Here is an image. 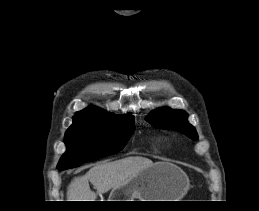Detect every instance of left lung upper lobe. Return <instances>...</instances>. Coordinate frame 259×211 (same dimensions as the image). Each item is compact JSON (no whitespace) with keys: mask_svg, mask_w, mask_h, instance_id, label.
Returning <instances> with one entry per match:
<instances>
[{"mask_svg":"<svg viewBox=\"0 0 259 211\" xmlns=\"http://www.w3.org/2000/svg\"><path fill=\"white\" fill-rule=\"evenodd\" d=\"M146 120L156 127L182 132L193 140L198 139L195 128L188 123L187 113L177 109L160 108L152 112Z\"/></svg>","mask_w":259,"mask_h":211,"instance_id":"left-lung-upper-lobe-1","label":"left lung upper lobe"}]
</instances>
